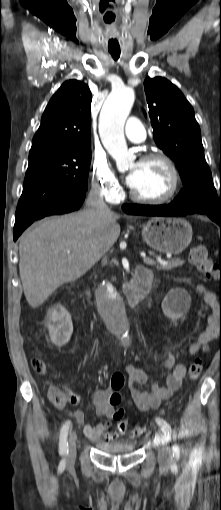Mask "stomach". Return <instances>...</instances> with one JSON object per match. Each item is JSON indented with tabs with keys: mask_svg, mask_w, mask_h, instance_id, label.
<instances>
[{
	"mask_svg": "<svg viewBox=\"0 0 221 510\" xmlns=\"http://www.w3.org/2000/svg\"><path fill=\"white\" fill-rule=\"evenodd\" d=\"M142 236L152 249L177 255L190 244L192 227L181 218L156 217L145 223Z\"/></svg>",
	"mask_w": 221,
	"mask_h": 510,
	"instance_id": "stomach-1",
	"label": "stomach"
}]
</instances>
